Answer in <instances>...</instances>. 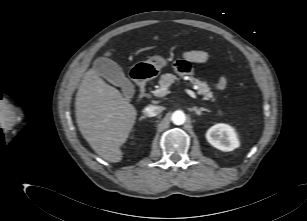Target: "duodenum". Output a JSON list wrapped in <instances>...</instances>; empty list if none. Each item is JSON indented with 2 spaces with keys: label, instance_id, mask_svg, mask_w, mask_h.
<instances>
[{
  "label": "duodenum",
  "instance_id": "obj_1",
  "mask_svg": "<svg viewBox=\"0 0 307 221\" xmlns=\"http://www.w3.org/2000/svg\"><path fill=\"white\" fill-rule=\"evenodd\" d=\"M133 78H134L135 83L137 84V87H138L137 100H138V102H140L145 96L146 75L144 74L143 71H138L136 75H133Z\"/></svg>",
  "mask_w": 307,
  "mask_h": 221
}]
</instances>
